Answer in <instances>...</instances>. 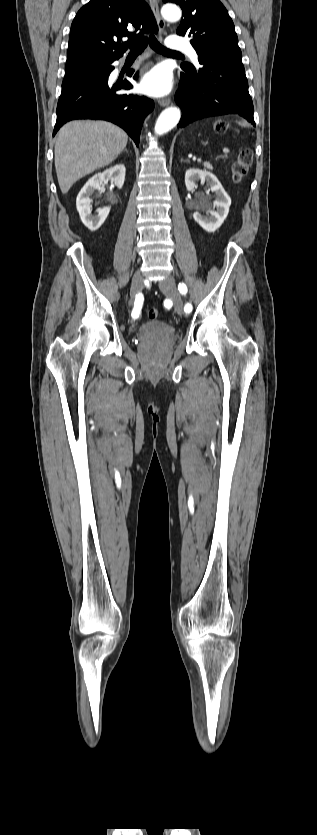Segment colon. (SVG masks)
Listing matches in <instances>:
<instances>
[{
    "label": "colon",
    "instance_id": "5ec220e1",
    "mask_svg": "<svg viewBox=\"0 0 317 835\" xmlns=\"http://www.w3.org/2000/svg\"><path fill=\"white\" fill-rule=\"evenodd\" d=\"M214 130L217 133H224L229 130V125L225 121H218L214 124ZM253 163V152L250 148H244L240 151L235 161L231 166V175L234 182H240ZM147 316L150 320H156L159 313L155 308L147 309Z\"/></svg>",
    "mask_w": 317,
    "mask_h": 835
}]
</instances>
